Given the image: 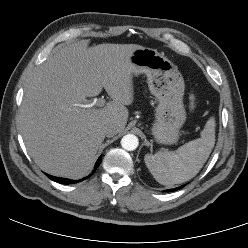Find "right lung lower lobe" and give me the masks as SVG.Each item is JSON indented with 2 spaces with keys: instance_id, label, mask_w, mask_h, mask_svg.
<instances>
[{
  "instance_id": "1",
  "label": "right lung lower lobe",
  "mask_w": 248,
  "mask_h": 248,
  "mask_svg": "<svg viewBox=\"0 0 248 248\" xmlns=\"http://www.w3.org/2000/svg\"><path fill=\"white\" fill-rule=\"evenodd\" d=\"M101 159H102V156H100L99 159L97 160L93 172H95V170H96V169L98 168V166L100 165ZM92 174H93V173H91L89 176H87V177H85V178H83V179H80V180H70V179L55 177V176H51V175H47V176H48L51 180H53V181H55V182H58V183H61V184H74V183H77V182H80V181H83V180L89 178Z\"/></svg>"
}]
</instances>
